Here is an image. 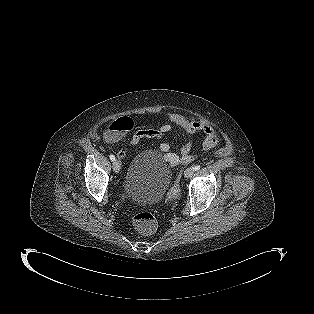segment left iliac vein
<instances>
[{
    "mask_svg": "<svg viewBox=\"0 0 314 314\" xmlns=\"http://www.w3.org/2000/svg\"><path fill=\"white\" fill-rule=\"evenodd\" d=\"M193 174H194V169H193V167H188V168L185 170V172H184V176H185L186 179L191 178V177L193 176Z\"/></svg>",
    "mask_w": 314,
    "mask_h": 314,
    "instance_id": "obj_1",
    "label": "left iliac vein"
}]
</instances>
